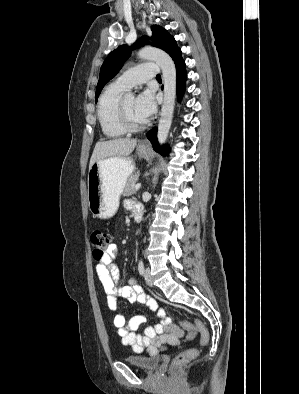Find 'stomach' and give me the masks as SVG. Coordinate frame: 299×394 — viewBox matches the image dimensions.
Returning a JSON list of instances; mask_svg holds the SVG:
<instances>
[{
  "label": "stomach",
  "mask_w": 299,
  "mask_h": 394,
  "mask_svg": "<svg viewBox=\"0 0 299 394\" xmlns=\"http://www.w3.org/2000/svg\"><path fill=\"white\" fill-rule=\"evenodd\" d=\"M140 157L148 158V150L138 147ZM135 171L130 157H110L95 162L88 173V206L94 217H112L128 179Z\"/></svg>",
  "instance_id": "1"
}]
</instances>
